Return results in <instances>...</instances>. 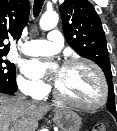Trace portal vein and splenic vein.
<instances>
[{
  "label": "portal vein and splenic vein",
  "instance_id": "18ae733b",
  "mask_svg": "<svg viewBox=\"0 0 117 131\" xmlns=\"http://www.w3.org/2000/svg\"><path fill=\"white\" fill-rule=\"evenodd\" d=\"M7 128H8V127L6 126V127L3 129V131H7Z\"/></svg>",
  "mask_w": 117,
  "mask_h": 131
}]
</instances>
